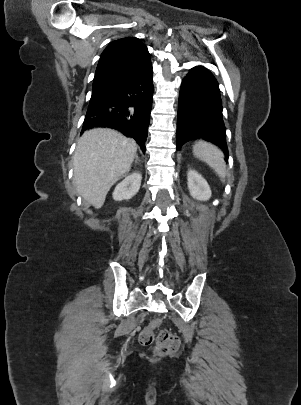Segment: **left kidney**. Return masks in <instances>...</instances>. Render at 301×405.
<instances>
[{
    "instance_id": "1",
    "label": "left kidney",
    "mask_w": 301,
    "mask_h": 405,
    "mask_svg": "<svg viewBox=\"0 0 301 405\" xmlns=\"http://www.w3.org/2000/svg\"><path fill=\"white\" fill-rule=\"evenodd\" d=\"M187 184L190 195L200 201L209 200L211 190L206 180L195 170H189L187 174Z\"/></svg>"
}]
</instances>
